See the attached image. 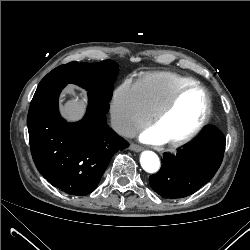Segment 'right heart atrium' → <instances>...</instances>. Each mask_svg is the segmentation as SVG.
<instances>
[{
    "label": "right heart atrium",
    "mask_w": 250,
    "mask_h": 250,
    "mask_svg": "<svg viewBox=\"0 0 250 250\" xmlns=\"http://www.w3.org/2000/svg\"><path fill=\"white\" fill-rule=\"evenodd\" d=\"M151 115L145 107L135 83L127 79L113 92L111 101V122L121 136H130L144 127Z\"/></svg>",
    "instance_id": "right-heart-atrium-1"
}]
</instances>
